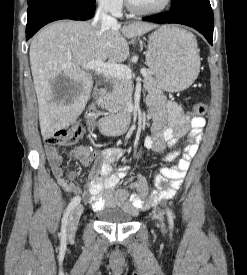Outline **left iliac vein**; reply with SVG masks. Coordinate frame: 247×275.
<instances>
[{
    "mask_svg": "<svg viewBox=\"0 0 247 275\" xmlns=\"http://www.w3.org/2000/svg\"><path fill=\"white\" fill-rule=\"evenodd\" d=\"M159 221H160L161 230H162V232H164L165 225H164V221H163V217L162 216H159Z\"/></svg>",
    "mask_w": 247,
    "mask_h": 275,
    "instance_id": "left-iliac-vein-1",
    "label": "left iliac vein"
}]
</instances>
